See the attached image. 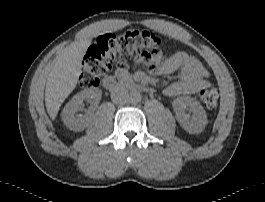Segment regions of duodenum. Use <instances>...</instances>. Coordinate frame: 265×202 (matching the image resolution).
Returning a JSON list of instances; mask_svg holds the SVG:
<instances>
[{
  "mask_svg": "<svg viewBox=\"0 0 265 202\" xmlns=\"http://www.w3.org/2000/svg\"><path fill=\"white\" fill-rule=\"evenodd\" d=\"M103 86L110 92H117L121 88H129L132 90H139L146 93L151 92V88L147 85L141 84L134 79L127 76H107L103 79Z\"/></svg>",
  "mask_w": 265,
  "mask_h": 202,
  "instance_id": "obj_1",
  "label": "duodenum"
}]
</instances>
